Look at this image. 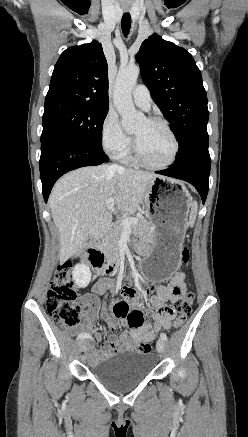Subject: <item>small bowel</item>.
I'll return each mask as SVG.
<instances>
[{"instance_id":"obj_1","label":"small bowel","mask_w":248,"mask_h":437,"mask_svg":"<svg viewBox=\"0 0 248 437\" xmlns=\"http://www.w3.org/2000/svg\"><path fill=\"white\" fill-rule=\"evenodd\" d=\"M185 291V274L183 272L177 273L168 285L158 286L156 295L150 299L154 319L151 324L144 323L141 311L135 308L138 301L136 291L132 287L124 288V298L114 299L111 312L122 323L127 325L129 330L116 334L115 321L113 319L108 320V326L112 333L101 348H96L93 343L88 344L86 355L89 363L95 365L124 349H131L138 344L152 341L160 330L170 329L173 313L168 312L170 306L167 303L182 296ZM114 293L115 286L110 281L100 280L94 285L93 292L86 295L82 301L94 311L101 306L100 296ZM93 328L94 324L89 321L84 326L70 329L69 333L76 334L81 330H85V332L81 333L89 334L88 331H91ZM101 339V334L95 335V341H100Z\"/></svg>"}]
</instances>
